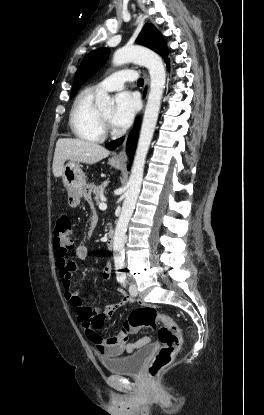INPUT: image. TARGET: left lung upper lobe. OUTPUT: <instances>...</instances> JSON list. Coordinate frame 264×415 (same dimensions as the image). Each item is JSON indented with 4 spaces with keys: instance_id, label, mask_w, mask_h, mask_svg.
<instances>
[{
    "instance_id": "5c2ea615",
    "label": "left lung upper lobe",
    "mask_w": 264,
    "mask_h": 415,
    "mask_svg": "<svg viewBox=\"0 0 264 415\" xmlns=\"http://www.w3.org/2000/svg\"><path fill=\"white\" fill-rule=\"evenodd\" d=\"M136 43L146 46L163 58H167L168 50L162 34L152 24H146ZM110 50L107 48H100L89 53L82 60L78 70L75 73V79L71 91V98L75 96L81 85L90 78L100 67L106 62ZM169 61L168 59L165 62Z\"/></svg>"
}]
</instances>
